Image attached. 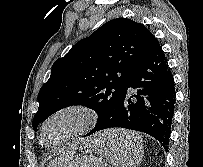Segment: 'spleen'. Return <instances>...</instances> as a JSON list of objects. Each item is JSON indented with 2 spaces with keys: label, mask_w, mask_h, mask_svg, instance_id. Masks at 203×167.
<instances>
[{
  "label": "spleen",
  "mask_w": 203,
  "mask_h": 167,
  "mask_svg": "<svg viewBox=\"0 0 203 167\" xmlns=\"http://www.w3.org/2000/svg\"><path fill=\"white\" fill-rule=\"evenodd\" d=\"M115 142V140L111 141ZM122 143L121 148H103L99 146L96 151L108 158L115 167H137L142 159L143 146L141 136L137 137L133 147H125Z\"/></svg>",
  "instance_id": "1"
}]
</instances>
